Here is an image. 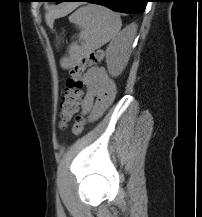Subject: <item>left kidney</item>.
Here are the masks:
<instances>
[{
  "instance_id": "obj_1",
  "label": "left kidney",
  "mask_w": 202,
  "mask_h": 217,
  "mask_svg": "<svg viewBox=\"0 0 202 217\" xmlns=\"http://www.w3.org/2000/svg\"><path fill=\"white\" fill-rule=\"evenodd\" d=\"M132 39H128L123 34L110 42L106 49V63L109 74L118 77L125 69L130 53Z\"/></svg>"
}]
</instances>
